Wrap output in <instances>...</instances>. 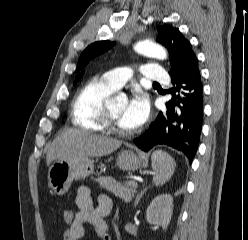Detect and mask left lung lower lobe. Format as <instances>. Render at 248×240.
<instances>
[{
  "instance_id": "obj_1",
  "label": "left lung lower lobe",
  "mask_w": 248,
  "mask_h": 240,
  "mask_svg": "<svg viewBox=\"0 0 248 240\" xmlns=\"http://www.w3.org/2000/svg\"><path fill=\"white\" fill-rule=\"evenodd\" d=\"M172 99L135 144L144 151L168 145L184 153L190 163L197 152L203 124V85L195 57L180 75L171 77Z\"/></svg>"
}]
</instances>
